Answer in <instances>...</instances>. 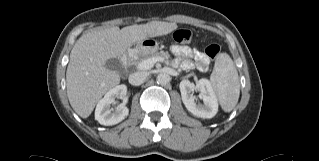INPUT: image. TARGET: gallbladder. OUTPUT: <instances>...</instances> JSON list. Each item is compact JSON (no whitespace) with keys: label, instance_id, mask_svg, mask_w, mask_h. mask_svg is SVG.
Segmentation results:
<instances>
[{"label":"gallbladder","instance_id":"obj_1","mask_svg":"<svg viewBox=\"0 0 319 161\" xmlns=\"http://www.w3.org/2000/svg\"><path fill=\"white\" fill-rule=\"evenodd\" d=\"M105 67L109 70H113L116 72H122V68H123L122 63L117 58L109 59L106 62Z\"/></svg>","mask_w":319,"mask_h":161}]
</instances>
